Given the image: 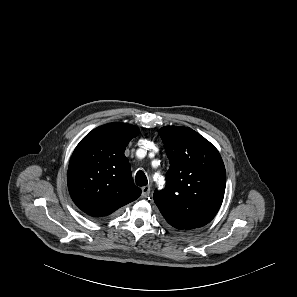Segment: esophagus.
I'll return each instance as SVG.
<instances>
[{"label": "esophagus", "mask_w": 297, "mask_h": 297, "mask_svg": "<svg viewBox=\"0 0 297 297\" xmlns=\"http://www.w3.org/2000/svg\"><path fill=\"white\" fill-rule=\"evenodd\" d=\"M141 190H142V196L143 197H148L149 195H150V187L149 186H143L142 188H141Z\"/></svg>", "instance_id": "34e87169"}]
</instances>
